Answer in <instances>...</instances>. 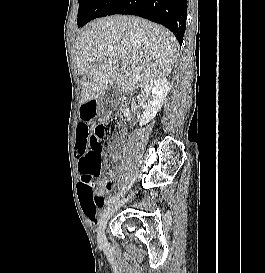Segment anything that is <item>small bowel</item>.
<instances>
[{
    "label": "small bowel",
    "instance_id": "c3829d8e",
    "mask_svg": "<svg viewBox=\"0 0 265 273\" xmlns=\"http://www.w3.org/2000/svg\"><path fill=\"white\" fill-rule=\"evenodd\" d=\"M81 108L87 109H81L80 119H85V122H88V119H95L96 110L88 109L94 108V103H81ZM76 129H95V124H76ZM76 157L78 169L80 170L81 157L78 153L76 154ZM119 157V153L114 152L113 159L118 160ZM111 184L112 182L108 180L99 181L94 193L80 194L82 211L90 222L94 223L97 220L99 210L106 205V192L111 187Z\"/></svg>",
    "mask_w": 265,
    "mask_h": 273
}]
</instances>
